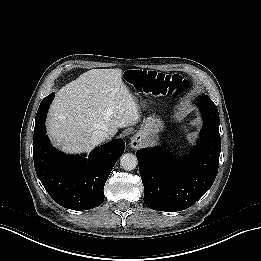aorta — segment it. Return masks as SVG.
Returning a JSON list of instances; mask_svg holds the SVG:
<instances>
[{
  "mask_svg": "<svg viewBox=\"0 0 261 261\" xmlns=\"http://www.w3.org/2000/svg\"><path fill=\"white\" fill-rule=\"evenodd\" d=\"M138 165L137 158L132 153H125L120 158V166L126 171L134 170Z\"/></svg>",
  "mask_w": 261,
  "mask_h": 261,
  "instance_id": "762f6f07",
  "label": "aorta"
}]
</instances>
